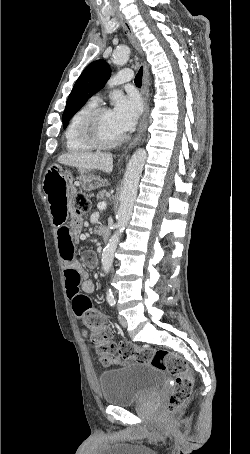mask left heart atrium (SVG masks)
Returning <instances> with one entry per match:
<instances>
[{"instance_id":"1","label":"left heart atrium","mask_w":250,"mask_h":454,"mask_svg":"<svg viewBox=\"0 0 250 454\" xmlns=\"http://www.w3.org/2000/svg\"><path fill=\"white\" fill-rule=\"evenodd\" d=\"M141 111V99L137 94H131L116 98L111 112L117 128L125 133L135 126Z\"/></svg>"}]
</instances>
